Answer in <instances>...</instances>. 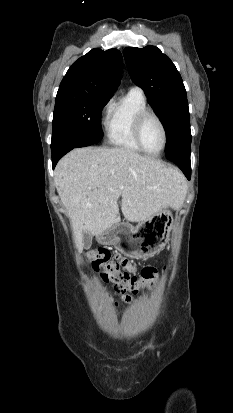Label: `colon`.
Here are the masks:
<instances>
[{"label":"colon","instance_id":"colon-1","mask_svg":"<svg viewBox=\"0 0 233 413\" xmlns=\"http://www.w3.org/2000/svg\"><path fill=\"white\" fill-rule=\"evenodd\" d=\"M87 257L93 267L101 272L102 278L107 282H112L118 293H136L143 287H153L158 279L157 269L152 266L142 268L140 275L135 276L121 270L118 261L112 259L108 249L100 248L89 251Z\"/></svg>","mask_w":233,"mask_h":413}]
</instances>
